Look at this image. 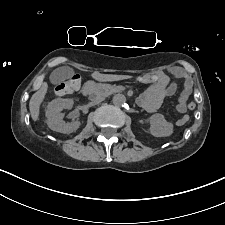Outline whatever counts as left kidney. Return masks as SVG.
<instances>
[{
  "label": "left kidney",
  "instance_id": "left-kidney-1",
  "mask_svg": "<svg viewBox=\"0 0 225 225\" xmlns=\"http://www.w3.org/2000/svg\"><path fill=\"white\" fill-rule=\"evenodd\" d=\"M150 133L155 137H168L173 133V124L167 122L162 114H153L150 118Z\"/></svg>",
  "mask_w": 225,
  "mask_h": 225
}]
</instances>
